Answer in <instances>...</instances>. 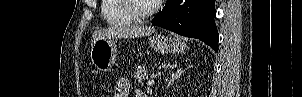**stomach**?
<instances>
[{
  "label": "stomach",
  "instance_id": "obj_1",
  "mask_svg": "<svg viewBox=\"0 0 302 97\" xmlns=\"http://www.w3.org/2000/svg\"><path fill=\"white\" fill-rule=\"evenodd\" d=\"M149 44L156 52L162 54H179L186 48V44L181 39L165 35L150 37ZM116 58V38H99L95 40L91 48V60L99 71H110L116 62Z\"/></svg>",
  "mask_w": 302,
  "mask_h": 97
}]
</instances>
